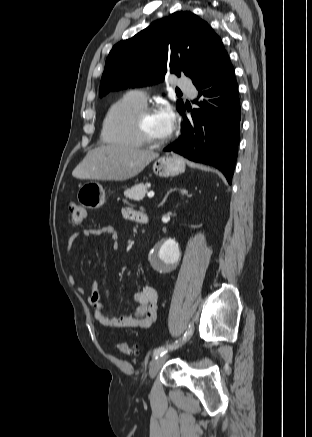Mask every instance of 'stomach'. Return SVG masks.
<instances>
[{
    "label": "stomach",
    "mask_w": 312,
    "mask_h": 437,
    "mask_svg": "<svg viewBox=\"0 0 312 437\" xmlns=\"http://www.w3.org/2000/svg\"><path fill=\"white\" fill-rule=\"evenodd\" d=\"M152 168L157 176L173 177L185 171V162L176 154H166L154 161ZM77 199L88 209H98L105 203V191L100 183L88 181L79 188Z\"/></svg>",
    "instance_id": "obj_1"
}]
</instances>
